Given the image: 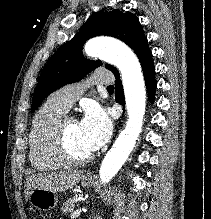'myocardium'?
I'll return each mask as SVG.
<instances>
[{"label":"myocardium","mask_w":211,"mask_h":219,"mask_svg":"<svg viewBox=\"0 0 211 219\" xmlns=\"http://www.w3.org/2000/svg\"><path fill=\"white\" fill-rule=\"evenodd\" d=\"M71 118L63 115L56 123L53 129L52 142L58 157L69 165H84L93 159V154L89 153L85 156L75 155L68 144L67 130L68 122Z\"/></svg>","instance_id":"f54148a6"}]
</instances>
